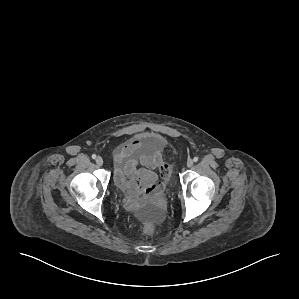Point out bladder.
Wrapping results in <instances>:
<instances>
[{"mask_svg":"<svg viewBox=\"0 0 299 299\" xmlns=\"http://www.w3.org/2000/svg\"><path fill=\"white\" fill-rule=\"evenodd\" d=\"M142 151L159 148L162 141L158 137L142 138L139 140Z\"/></svg>","mask_w":299,"mask_h":299,"instance_id":"1","label":"bladder"}]
</instances>
